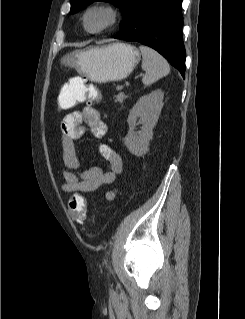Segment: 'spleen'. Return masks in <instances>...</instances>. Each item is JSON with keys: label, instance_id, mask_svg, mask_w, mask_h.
Masks as SVG:
<instances>
[{"label": "spleen", "instance_id": "3e777b00", "mask_svg": "<svg viewBox=\"0 0 245 319\" xmlns=\"http://www.w3.org/2000/svg\"><path fill=\"white\" fill-rule=\"evenodd\" d=\"M139 49L143 57L142 69L146 72L142 78L145 86L151 85L170 73L168 62L157 51L144 45H141Z\"/></svg>", "mask_w": 245, "mask_h": 319}]
</instances>
